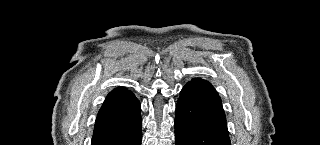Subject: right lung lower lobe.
Masks as SVG:
<instances>
[{
    "label": "right lung lower lobe",
    "instance_id": "right-lung-lower-lobe-1",
    "mask_svg": "<svg viewBox=\"0 0 320 145\" xmlns=\"http://www.w3.org/2000/svg\"><path fill=\"white\" fill-rule=\"evenodd\" d=\"M140 102L123 87L111 91L98 112L91 145H140Z\"/></svg>",
    "mask_w": 320,
    "mask_h": 145
}]
</instances>
